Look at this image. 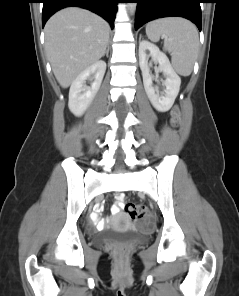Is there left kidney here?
Instances as JSON below:
<instances>
[{
    "label": "left kidney",
    "mask_w": 239,
    "mask_h": 296,
    "mask_svg": "<svg viewBox=\"0 0 239 296\" xmlns=\"http://www.w3.org/2000/svg\"><path fill=\"white\" fill-rule=\"evenodd\" d=\"M149 52V55L147 54ZM159 63L158 70L163 72L166 79L162 81L166 87L163 93L159 94L157 87L153 86V79L150 75L148 58ZM139 65L142 71L143 84L146 94L153 105L159 112L170 110L179 93L181 79L172 68L167 56L153 43L143 40L139 43Z\"/></svg>",
    "instance_id": "obj_1"
}]
</instances>
